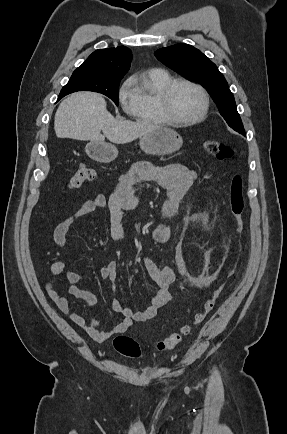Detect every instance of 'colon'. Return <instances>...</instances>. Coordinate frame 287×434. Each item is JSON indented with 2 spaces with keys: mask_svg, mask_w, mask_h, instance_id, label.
I'll return each instance as SVG.
<instances>
[{
  "mask_svg": "<svg viewBox=\"0 0 287 434\" xmlns=\"http://www.w3.org/2000/svg\"><path fill=\"white\" fill-rule=\"evenodd\" d=\"M204 150L220 161L230 159L233 152L230 147L216 140H206L203 143ZM94 171L85 164H80L70 178V188L77 189L87 185L94 179ZM228 201L231 215L235 222V234L238 235L242 230V217L245 211V200L243 194V181L240 175H235L230 183ZM232 270L229 271V274ZM224 287V281L219 283L205 301L201 311L197 312L191 322L181 325L176 331L161 340L157 348L160 351H169L175 348L181 340L186 337L193 326L198 325L210 312L216 299L219 297ZM52 289V287H50ZM115 350L123 356L137 358L140 355V347L135 339L125 335H118L113 340Z\"/></svg>",
  "mask_w": 287,
  "mask_h": 434,
  "instance_id": "obj_1",
  "label": "colon"
}]
</instances>
